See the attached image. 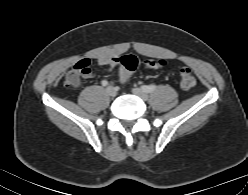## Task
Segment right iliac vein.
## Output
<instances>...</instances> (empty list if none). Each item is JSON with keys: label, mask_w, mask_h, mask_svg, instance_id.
<instances>
[{"label": "right iliac vein", "mask_w": 248, "mask_h": 195, "mask_svg": "<svg viewBox=\"0 0 248 195\" xmlns=\"http://www.w3.org/2000/svg\"><path fill=\"white\" fill-rule=\"evenodd\" d=\"M106 92H107V94H108L109 96H111V97H115L116 94H117V91H116V89H115L113 86H108V87L106 88Z\"/></svg>", "instance_id": "63e3f726"}]
</instances>
